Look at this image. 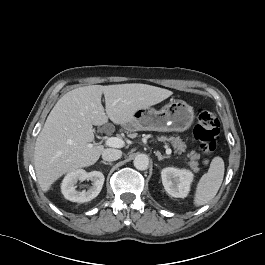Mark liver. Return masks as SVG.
<instances>
[{
    "mask_svg": "<svg viewBox=\"0 0 265 265\" xmlns=\"http://www.w3.org/2000/svg\"><path fill=\"white\" fill-rule=\"evenodd\" d=\"M103 94L106 109L101 104ZM172 94L164 88L138 83L90 85L64 94L35 143L34 167L41 189L47 192L62 175L97 162L104 146L91 143L93 125H104L110 119L127 126L137 110L158 104Z\"/></svg>",
    "mask_w": 265,
    "mask_h": 265,
    "instance_id": "obj_1",
    "label": "liver"
}]
</instances>
